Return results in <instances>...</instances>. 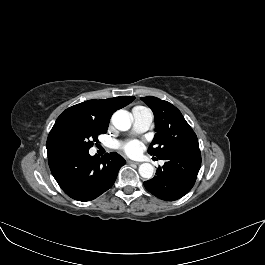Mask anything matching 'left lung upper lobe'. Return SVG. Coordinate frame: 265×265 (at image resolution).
I'll use <instances>...</instances> for the list:
<instances>
[{"label": "left lung upper lobe", "mask_w": 265, "mask_h": 265, "mask_svg": "<svg viewBox=\"0 0 265 265\" xmlns=\"http://www.w3.org/2000/svg\"><path fill=\"white\" fill-rule=\"evenodd\" d=\"M153 111L156 134L148 153L159 159L168 153L199 150L196 134L171 103L153 96L141 97Z\"/></svg>", "instance_id": "obj_1"}]
</instances>
